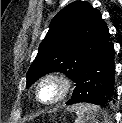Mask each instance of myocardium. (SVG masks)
<instances>
[{
  "mask_svg": "<svg viewBox=\"0 0 122 123\" xmlns=\"http://www.w3.org/2000/svg\"><path fill=\"white\" fill-rule=\"evenodd\" d=\"M50 80L56 81L60 85V93L53 100L44 101L40 97V89L45 82L50 81ZM72 88H73V81L67 74L61 73V72H52V73L45 75L38 82L37 87H36V99L44 105L52 106L66 99L67 96L70 94Z\"/></svg>",
  "mask_w": 122,
  "mask_h": 123,
  "instance_id": "obj_1",
  "label": "myocardium"
}]
</instances>
